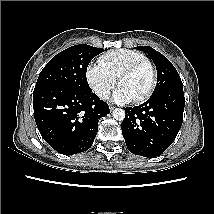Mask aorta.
Segmentation results:
<instances>
[{
	"instance_id": "1",
	"label": "aorta",
	"mask_w": 214,
	"mask_h": 214,
	"mask_svg": "<svg viewBox=\"0 0 214 214\" xmlns=\"http://www.w3.org/2000/svg\"><path fill=\"white\" fill-rule=\"evenodd\" d=\"M112 115L116 120L122 121L125 118V111L121 108H116L114 109Z\"/></svg>"
}]
</instances>
